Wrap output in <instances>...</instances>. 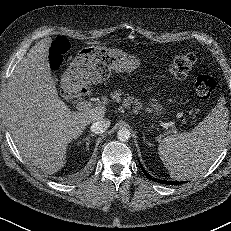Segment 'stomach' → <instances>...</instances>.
<instances>
[{
    "mask_svg": "<svg viewBox=\"0 0 231 231\" xmlns=\"http://www.w3.org/2000/svg\"><path fill=\"white\" fill-rule=\"evenodd\" d=\"M140 65L141 60L136 55L118 49L85 47L78 51L64 72L62 80L66 86L73 87L97 84L105 81L112 70L131 72ZM149 106L151 107L149 111H154L159 116L165 114V109L156 99H151Z\"/></svg>",
    "mask_w": 231,
    "mask_h": 231,
    "instance_id": "0dacf381",
    "label": "stomach"
}]
</instances>
